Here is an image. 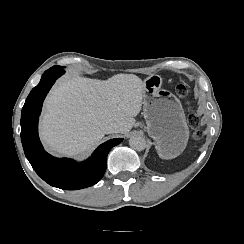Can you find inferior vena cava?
<instances>
[{
	"mask_svg": "<svg viewBox=\"0 0 244 244\" xmlns=\"http://www.w3.org/2000/svg\"><path fill=\"white\" fill-rule=\"evenodd\" d=\"M117 130H118V126L115 123L106 124L104 126V131L107 134H109V133H116Z\"/></svg>",
	"mask_w": 244,
	"mask_h": 244,
	"instance_id": "602c4592",
	"label": "inferior vena cava"
}]
</instances>
